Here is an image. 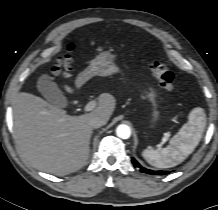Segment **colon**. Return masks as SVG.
<instances>
[{
	"mask_svg": "<svg viewBox=\"0 0 218 210\" xmlns=\"http://www.w3.org/2000/svg\"><path fill=\"white\" fill-rule=\"evenodd\" d=\"M71 64V56L65 55L58 63L54 74L56 76L68 77L71 70ZM150 70L165 92H171L174 89V75L167 69L165 64L158 60H154L150 65Z\"/></svg>",
	"mask_w": 218,
	"mask_h": 210,
	"instance_id": "5ec220e1",
	"label": "colon"
}]
</instances>
